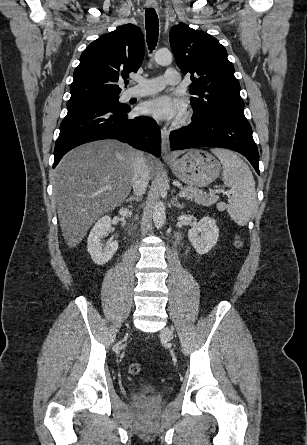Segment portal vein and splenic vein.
<instances>
[{
  "mask_svg": "<svg viewBox=\"0 0 307 445\" xmlns=\"http://www.w3.org/2000/svg\"><path fill=\"white\" fill-rule=\"evenodd\" d=\"M106 188H111V186H106ZM222 192H225V190H222ZM179 196H187V192H183V190H181V192H179Z\"/></svg>",
  "mask_w": 307,
  "mask_h": 445,
  "instance_id": "18ae733b",
  "label": "portal vein and splenic vein"
}]
</instances>
